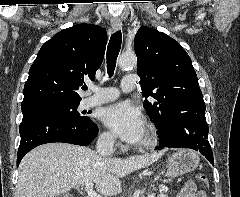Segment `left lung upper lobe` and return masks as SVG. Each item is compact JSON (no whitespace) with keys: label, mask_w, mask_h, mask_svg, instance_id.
<instances>
[{"label":"left lung upper lobe","mask_w":240,"mask_h":197,"mask_svg":"<svg viewBox=\"0 0 240 197\" xmlns=\"http://www.w3.org/2000/svg\"><path fill=\"white\" fill-rule=\"evenodd\" d=\"M134 49L142 94L155 99L143 104L151 119L164 111H180L191 97L203 99L191 59L176 40L142 26Z\"/></svg>","instance_id":"1"}]
</instances>
